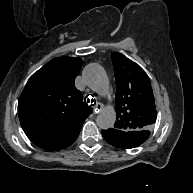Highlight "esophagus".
<instances>
[{
    "mask_svg": "<svg viewBox=\"0 0 193 193\" xmlns=\"http://www.w3.org/2000/svg\"><path fill=\"white\" fill-rule=\"evenodd\" d=\"M104 109V105L100 102L97 103L95 109H94V113L98 114L100 113L102 110Z\"/></svg>",
    "mask_w": 193,
    "mask_h": 193,
    "instance_id": "34e87169",
    "label": "esophagus"
}]
</instances>
